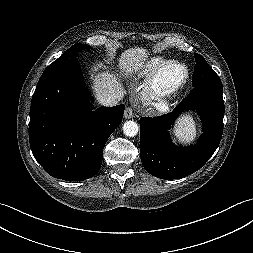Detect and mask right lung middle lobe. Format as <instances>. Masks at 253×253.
I'll return each instance as SVG.
<instances>
[{
  "instance_id": "1",
  "label": "right lung middle lobe",
  "mask_w": 253,
  "mask_h": 253,
  "mask_svg": "<svg viewBox=\"0 0 253 253\" xmlns=\"http://www.w3.org/2000/svg\"><path fill=\"white\" fill-rule=\"evenodd\" d=\"M83 48H91V47L84 44H75L71 48H69L66 52H64L57 60L51 63L45 70L51 69L55 66L61 65L69 61L71 58L75 57L78 51L82 50Z\"/></svg>"
}]
</instances>
